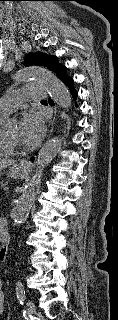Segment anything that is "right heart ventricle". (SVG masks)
<instances>
[{
    "instance_id": "right-heart-ventricle-1",
    "label": "right heart ventricle",
    "mask_w": 118,
    "mask_h": 320,
    "mask_svg": "<svg viewBox=\"0 0 118 320\" xmlns=\"http://www.w3.org/2000/svg\"><path fill=\"white\" fill-rule=\"evenodd\" d=\"M5 118V115L0 113V125ZM13 153V148H11L4 140L0 130V157L9 156Z\"/></svg>"
}]
</instances>
